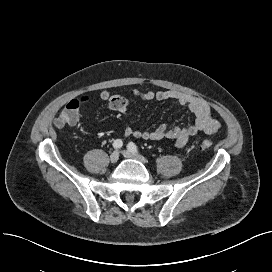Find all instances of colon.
I'll list each match as a JSON object with an SVG mask.
<instances>
[{"mask_svg":"<svg viewBox=\"0 0 272 272\" xmlns=\"http://www.w3.org/2000/svg\"><path fill=\"white\" fill-rule=\"evenodd\" d=\"M70 122L69 117H64L60 115L56 120H55V126L57 128H61L64 126H68V123ZM212 146V143L209 140H202L199 144L198 147L202 150L209 149Z\"/></svg>","mask_w":272,"mask_h":272,"instance_id":"5ec220e1","label":"colon"}]
</instances>
